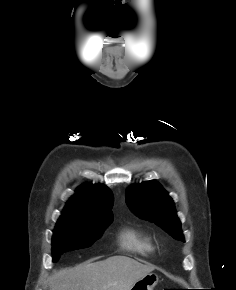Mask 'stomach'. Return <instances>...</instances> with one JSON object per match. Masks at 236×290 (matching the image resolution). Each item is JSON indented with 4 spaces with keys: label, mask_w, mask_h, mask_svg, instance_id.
Here are the masks:
<instances>
[{
    "label": "stomach",
    "mask_w": 236,
    "mask_h": 290,
    "mask_svg": "<svg viewBox=\"0 0 236 290\" xmlns=\"http://www.w3.org/2000/svg\"><path fill=\"white\" fill-rule=\"evenodd\" d=\"M158 275L155 273H148L141 279L137 280L130 290H153L158 283Z\"/></svg>",
    "instance_id": "1"
}]
</instances>
